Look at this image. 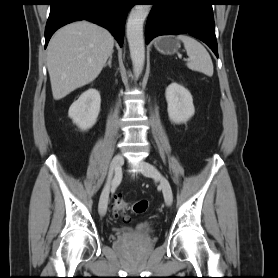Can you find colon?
I'll use <instances>...</instances> for the list:
<instances>
[{
  "label": "colon",
  "instance_id": "1",
  "mask_svg": "<svg viewBox=\"0 0 278 278\" xmlns=\"http://www.w3.org/2000/svg\"><path fill=\"white\" fill-rule=\"evenodd\" d=\"M148 207V202L146 200H139L132 204H128L121 198H116L113 203V210L116 216H127L128 212L133 213H143Z\"/></svg>",
  "mask_w": 278,
  "mask_h": 278
}]
</instances>
